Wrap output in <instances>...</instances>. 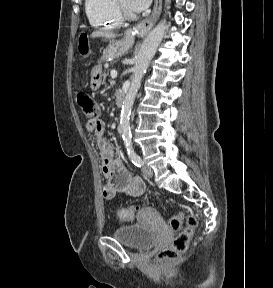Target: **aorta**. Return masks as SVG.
<instances>
[{
	"label": "aorta",
	"instance_id": "obj_1",
	"mask_svg": "<svg viewBox=\"0 0 273 288\" xmlns=\"http://www.w3.org/2000/svg\"><path fill=\"white\" fill-rule=\"evenodd\" d=\"M166 3H170L171 0H165ZM166 20L159 22L154 29L144 39L140 50L136 57V62L133 68V78L130 84L129 91L127 92L123 101L121 114H120V129L122 132L123 141L127 152L129 154L134 153L131 142L130 131V114L133 107L138 89L141 84V80L149 67L150 61L156 53V50L161 43L165 30Z\"/></svg>",
	"mask_w": 273,
	"mask_h": 288
}]
</instances>
